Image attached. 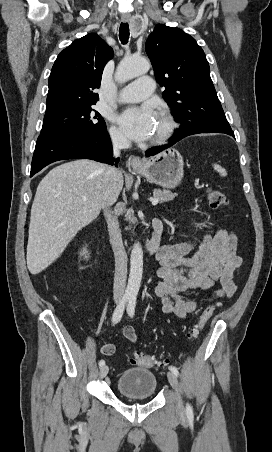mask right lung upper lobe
<instances>
[{
  "instance_id": "cb5924a9",
  "label": "right lung upper lobe",
  "mask_w": 272,
  "mask_h": 452,
  "mask_svg": "<svg viewBox=\"0 0 272 452\" xmlns=\"http://www.w3.org/2000/svg\"><path fill=\"white\" fill-rule=\"evenodd\" d=\"M113 50L97 34L91 33L64 49L57 57L49 77L46 114L94 105L102 72L112 59Z\"/></svg>"
}]
</instances>
